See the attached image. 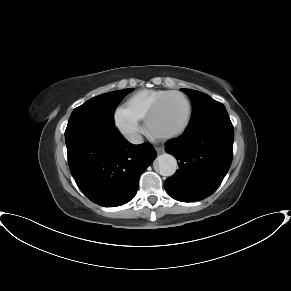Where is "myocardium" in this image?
Segmentation results:
<instances>
[{
	"label": "myocardium",
	"instance_id": "myocardium-1",
	"mask_svg": "<svg viewBox=\"0 0 291 291\" xmlns=\"http://www.w3.org/2000/svg\"><path fill=\"white\" fill-rule=\"evenodd\" d=\"M173 95H177L182 97L185 102H186V106H187V118L185 123L177 130L170 132V133H166V134H161V133H157L153 130L152 128V121L153 118L155 117L156 113L158 112V110L160 109L161 105L163 104V102L170 96ZM192 116H193V108H192V104L190 99L188 98V96L180 91H169L168 93H166L165 95H163L162 97H160L155 104L152 106V108L149 110V112L147 113L146 117H145V126H146V131L147 134L154 138V139H158V140H168V139H172L175 137H178L180 135H182L190 126L191 121H192Z\"/></svg>",
	"mask_w": 291,
	"mask_h": 291
}]
</instances>
